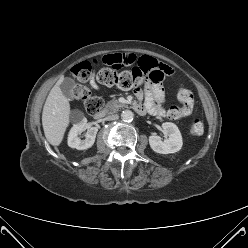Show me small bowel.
<instances>
[{
    "mask_svg": "<svg viewBox=\"0 0 248 248\" xmlns=\"http://www.w3.org/2000/svg\"><path fill=\"white\" fill-rule=\"evenodd\" d=\"M101 61L115 67L138 65L143 71L146 72L155 70V75L157 78L172 73V70L167 65L160 63L156 59L149 56L137 58L135 54L130 52L109 54L104 56ZM90 85L95 89L98 88V84L94 79L90 80ZM136 94L139 99H144L143 106L139 104L142 106L144 111L158 116L166 115V111L163 108L165 103V94L159 84L155 85L153 88L149 85H145L144 89L138 90Z\"/></svg>",
    "mask_w": 248,
    "mask_h": 248,
    "instance_id": "1",
    "label": "small bowel"
}]
</instances>
